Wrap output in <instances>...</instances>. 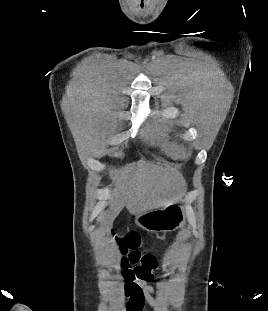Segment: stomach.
<instances>
[{
    "mask_svg": "<svg viewBox=\"0 0 268 311\" xmlns=\"http://www.w3.org/2000/svg\"><path fill=\"white\" fill-rule=\"evenodd\" d=\"M135 223L148 232L175 231L186 224L185 208L178 203H171L136 215Z\"/></svg>",
    "mask_w": 268,
    "mask_h": 311,
    "instance_id": "stomach-1",
    "label": "stomach"
}]
</instances>
